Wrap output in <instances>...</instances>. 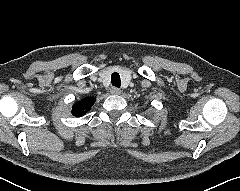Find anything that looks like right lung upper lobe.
Listing matches in <instances>:
<instances>
[{
    "label": "right lung upper lobe",
    "instance_id": "right-lung-upper-lobe-1",
    "mask_svg": "<svg viewBox=\"0 0 240 191\" xmlns=\"http://www.w3.org/2000/svg\"><path fill=\"white\" fill-rule=\"evenodd\" d=\"M94 103L95 99L92 97L84 98L81 101H78L72 107V115L76 117L85 115V113L91 109Z\"/></svg>",
    "mask_w": 240,
    "mask_h": 191
}]
</instances>
